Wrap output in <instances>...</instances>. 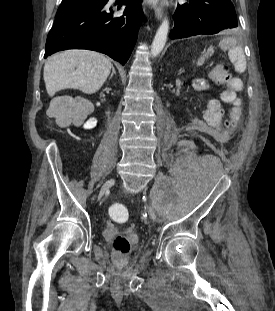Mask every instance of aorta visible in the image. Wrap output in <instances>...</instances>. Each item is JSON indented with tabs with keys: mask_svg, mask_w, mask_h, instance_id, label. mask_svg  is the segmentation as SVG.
Listing matches in <instances>:
<instances>
[{
	"mask_svg": "<svg viewBox=\"0 0 275 311\" xmlns=\"http://www.w3.org/2000/svg\"><path fill=\"white\" fill-rule=\"evenodd\" d=\"M168 31H169V20L165 18L160 27L158 28L156 35L153 39L151 45L152 57H157L163 50L167 41Z\"/></svg>",
	"mask_w": 275,
	"mask_h": 311,
	"instance_id": "obj_1",
	"label": "aorta"
}]
</instances>
